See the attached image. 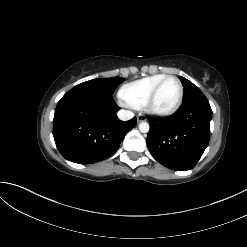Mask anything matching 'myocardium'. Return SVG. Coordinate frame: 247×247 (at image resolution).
Instances as JSON below:
<instances>
[{
	"mask_svg": "<svg viewBox=\"0 0 247 247\" xmlns=\"http://www.w3.org/2000/svg\"><path fill=\"white\" fill-rule=\"evenodd\" d=\"M168 79H175L177 81L178 85H179V97H178V100H177L176 104L171 109H169L167 111H156V110L153 109V103L155 101V98H156L161 86ZM183 98H184V87H183V84H182L181 80L177 76L166 75L153 88V90L149 94L148 98L146 99L145 104H144L143 107H144V110L148 114H150L152 116L159 117V118H166V117H170V116L174 115L179 110V108L182 105Z\"/></svg>",
	"mask_w": 247,
	"mask_h": 247,
	"instance_id": "myocardium-1",
	"label": "myocardium"
}]
</instances>
